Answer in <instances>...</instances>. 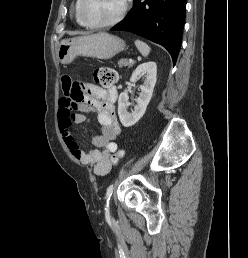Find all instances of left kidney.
<instances>
[{
	"label": "left kidney",
	"mask_w": 248,
	"mask_h": 258,
	"mask_svg": "<svg viewBox=\"0 0 248 258\" xmlns=\"http://www.w3.org/2000/svg\"><path fill=\"white\" fill-rule=\"evenodd\" d=\"M140 76H144V84L141 85L140 94L137 98V104L132 112L127 111L128 92L125 90L119 95L118 99V115L121 124L124 127H131L136 124L145 114L147 105L149 104L153 89L156 83L157 65L153 61L140 64L132 73L131 82H136Z\"/></svg>",
	"instance_id": "left-kidney-1"
}]
</instances>
